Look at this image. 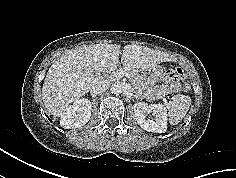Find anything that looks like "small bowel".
Listing matches in <instances>:
<instances>
[{
    "mask_svg": "<svg viewBox=\"0 0 236 178\" xmlns=\"http://www.w3.org/2000/svg\"><path fill=\"white\" fill-rule=\"evenodd\" d=\"M176 84L169 80H163L160 85L157 87L155 99H161L169 91L175 90Z\"/></svg>",
    "mask_w": 236,
    "mask_h": 178,
    "instance_id": "obj_1",
    "label": "small bowel"
}]
</instances>
